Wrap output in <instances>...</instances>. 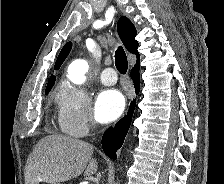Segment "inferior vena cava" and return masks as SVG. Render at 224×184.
Listing matches in <instances>:
<instances>
[{"instance_id": "inferior-vena-cava-1", "label": "inferior vena cava", "mask_w": 224, "mask_h": 184, "mask_svg": "<svg viewBox=\"0 0 224 184\" xmlns=\"http://www.w3.org/2000/svg\"><path fill=\"white\" fill-rule=\"evenodd\" d=\"M92 125H93V126L95 125V122H94V121H92Z\"/></svg>"}]
</instances>
